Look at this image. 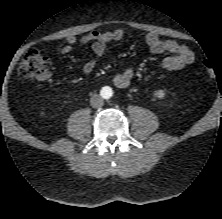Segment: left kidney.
Returning <instances> with one entry per match:
<instances>
[{
	"mask_svg": "<svg viewBox=\"0 0 222 219\" xmlns=\"http://www.w3.org/2000/svg\"><path fill=\"white\" fill-rule=\"evenodd\" d=\"M154 95L159 99H164L166 96V93L164 92V90H157L155 91Z\"/></svg>",
	"mask_w": 222,
	"mask_h": 219,
	"instance_id": "1",
	"label": "left kidney"
}]
</instances>
